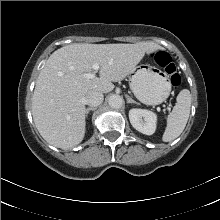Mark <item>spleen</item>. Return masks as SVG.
<instances>
[{
  "instance_id": "spleen-1",
  "label": "spleen",
  "mask_w": 220,
  "mask_h": 220,
  "mask_svg": "<svg viewBox=\"0 0 220 220\" xmlns=\"http://www.w3.org/2000/svg\"><path fill=\"white\" fill-rule=\"evenodd\" d=\"M177 103L167 117V126L162 136L164 142H171L185 129L190 115L191 94L188 89H183L177 96Z\"/></svg>"
}]
</instances>
